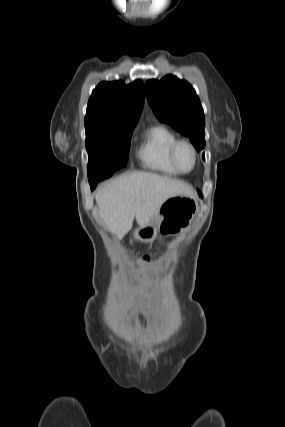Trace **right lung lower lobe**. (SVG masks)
<instances>
[{"label": "right lung lower lobe", "instance_id": "1", "mask_svg": "<svg viewBox=\"0 0 285 427\" xmlns=\"http://www.w3.org/2000/svg\"><path fill=\"white\" fill-rule=\"evenodd\" d=\"M97 183H98V182H90V185H91V189H92V190L96 187Z\"/></svg>", "mask_w": 285, "mask_h": 427}]
</instances>
